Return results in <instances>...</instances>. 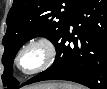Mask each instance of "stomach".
<instances>
[{
	"instance_id": "1",
	"label": "stomach",
	"mask_w": 107,
	"mask_h": 89,
	"mask_svg": "<svg viewBox=\"0 0 107 89\" xmlns=\"http://www.w3.org/2000/svg\"><path fill=\"white\" fill-rule=\"evenodd\" d=\"M29 89H37V88H29ZM60 89H62V88L60 87Z\"/></svg>"
}]
</instances>
